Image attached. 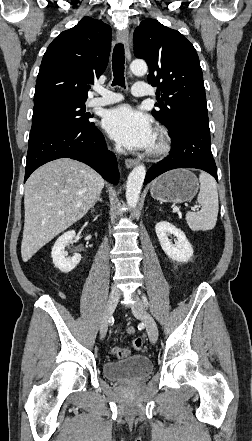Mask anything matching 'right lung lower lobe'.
Masks as SVG:
<instances>
[{
  "label": "right lung lower lobe",
  "mask_w": 252,
  "mask_h": 441,
  "mask_svg": "<svg viewBox=\"0 0 252 441\" xmlns=\"http://www.w3.org/2000/svg\"><path fill=\"white\" fill-rule=\"evenodd\" d=\"M64 157L81 161L95 169L107 181L115 185L118 183L116 157L107 150L104 136L93 122L83 126H32L24 182L39 166Z\"/></svg>",
  "instance_id": "right-lung-lower-lobe-1"
}]
</instances>
